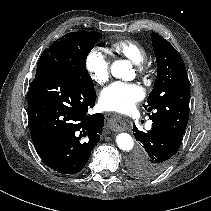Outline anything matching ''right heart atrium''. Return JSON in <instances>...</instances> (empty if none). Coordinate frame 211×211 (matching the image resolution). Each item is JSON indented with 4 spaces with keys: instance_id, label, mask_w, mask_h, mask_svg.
Returning <instances> with one entry per match:
<instances>
[{
    "instance_id": "obj_1",
    "label": "right heart atrium",
    "mask_w": 211,
    "mask_h": 211,
    "mask_svg": "<svg viewBox=\"0 0 211 211\" xmlns=\"http://www.w3.org/2000/svg\"><path fill=\"white\" fill-rule=\"evenodd\" d=\"M85 65L91 79L99 85L106 83L110 76V62L99 49H92L86 56Z\"/></svg>"
}]
</instances>
